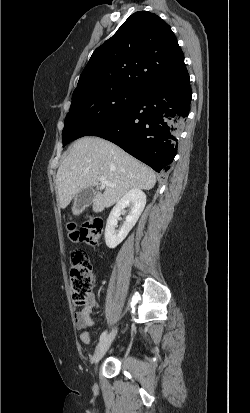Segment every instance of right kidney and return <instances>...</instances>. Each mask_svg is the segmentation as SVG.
<instances>
[{
    "instance_id": "right-kidney-1",
    "label": "right kidney",
    "mask_w": 250,
    "mask_h": 413,
    "mask_svg": "<svg viewBox=\"0 0 250 413\" xmlns=\"http://www.w3.org/2000/svg\"><path fill=\"white\" fill-rule=\"evenodd\" d=\"M146 205V195L140 189L128 191L113 207L105 228V242L107 247L113 249L119 245L128 235L138 221ZM127 206L131 207L123 226L119 231L115 230L121 212Z\"/></svg>"
}]
</instances>
